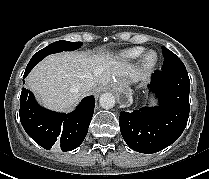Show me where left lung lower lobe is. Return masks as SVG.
I'll return each mask as SVG.
<instances>
[{"instance_id": "0a47b994", "label": "left lung lower lobe", "mask_w": 209, "mask_h": 179, "mask_svg": "<svg viewBox=\"0 0 209 179\" xmlns=\"http://www.w3.org/2000/svg\"><path fill=\"white\" fill-rule=\"evenodd\" d=\"M158 106L121 112L119 125L127 145L151 154L174 143L184 131L189 116L190 80L185 67L156 71L148 85Z\"/></svg>"}]
</instances>
